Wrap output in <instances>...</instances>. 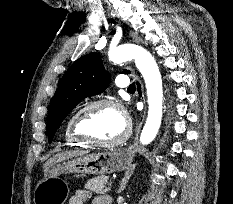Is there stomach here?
Returning <instances> with one entry per match:
<instances>
[{"label": "stomach", "mask_w": 233, "mask_h": 204, "mask_svg": "<svg viewBox=\"0 0 233 204\" xmlns=\"http://www.w3.org/2000/svg\"><path fill=\"white\" fill-rule=\"evenodd\" d=\"M135 156L131 148L112 149L82 155L53 164L34 190V204H64L68 188L62 174L81 173L104 175L128 169Z\"/></svg>", "instance_id": "1"}]
</instances>
